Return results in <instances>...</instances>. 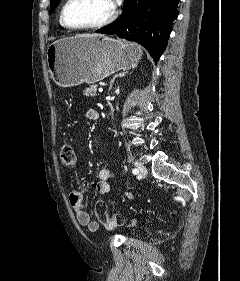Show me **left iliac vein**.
<instances>
[{
    "label": "left iliac vein",
    "mask_w": 240,
    "mask_h": 281,
    "mask_svg": "<svg viewBox=\"0 0 240 281\" xmlns=\"http://www.w3.org/2000/svg\"><path fill=\"white\" fill-rule=\"evenodd\" d=\"M135 165H136L137 169L140 172V176L141 177H145L147 175L146 167L142 163H140V162H136Z\"/></svg>",
    "instance_id": "left-iliac-vein-1"
}]
</instances>
